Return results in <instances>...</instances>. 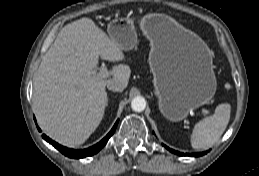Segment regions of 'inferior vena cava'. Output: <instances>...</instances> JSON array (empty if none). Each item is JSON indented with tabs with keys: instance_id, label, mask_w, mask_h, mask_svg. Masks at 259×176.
Listing matches in <instances>:
<instances>
[{
	"instance_id": "1",
	"label": "inferior vena cava",
	"mask_w": 259,
	"mask_h": 176,
	"mask_svg": "<svg viewBox=\"0 0 259 176\" xmlns=\"http://www.w3.org/2000/svg\"><path fill=\"white\" fill-rule=\"evenodd\" d=\"M107 88L112 91H122V85L118 82H111L107 85Z\"/></svg>"
}]
</instances>
